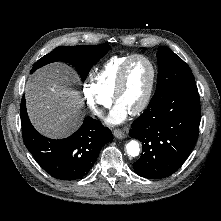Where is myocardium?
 Listing matches in <instances>:
<instances>
[{"label": "myocardium", "mask_w": 221, "mask_h": 221, "mask_svg": "<svg viewBox=\"0 0 221 221\" xmlns=\"http://www.w3.org/2000/svg\"><path fill=\"white\" fill-rule=\"evenodd\" d=\"M135 59H143L144 61H146L148 63V65L150 66V69H151V79H150V84H149L148 90H147L142 102L138 105V107L136 109H134L132 112H130V114L134 115V116L142 113L149 105L151 98L153 96L156 78H157V69H156L154 62L148 56H146L144 54H133L125 61V63L123 64V66L120 70L117 84L115 87V91H114V94L112 97L114 103H117L119 96L121 95V93L124 90V87L126 84L128 68H129L130 64Z\"/></svg>", "instance_id": "f54148a6"}]
</instances>
